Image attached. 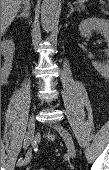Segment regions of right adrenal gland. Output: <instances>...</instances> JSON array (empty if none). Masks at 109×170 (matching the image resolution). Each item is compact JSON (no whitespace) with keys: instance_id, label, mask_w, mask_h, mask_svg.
<instances>
[{"instance_id":"2a0ac1e0","label":"right adrenal gland","mask_w":109,"mask_h":170,"mask_svg":"<svg viewBox=\"0 0 109 170\" xmlns=\"http://www.w3.org/2000/svg\"><path fill=\"white\" fill-rule=\"evenodd\" d=\"M17 17L27 19L29 17V6L25 5L22 13L20 15H18Z\"/></svg>"}]
</instances>
